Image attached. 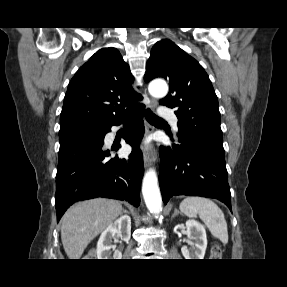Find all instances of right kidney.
I'll return each instance as SVG.
<instances>
[{
	"instance_id": "1",
	"label": "right kidney",
	"mask_w": 287,
	"mask_h": 287,
	"mask_svg": "<svg viewBox=\"0 0 287 287\" xmlns=\"http://www.w3.org/2000/svg\"><path fill=\"white\" fill-rule=\"evenodd\" d=\"M118 235L122 240L128 241L131 236V218L123 215L113 224H110L101 234L97 243L98 259H121L122 254L115 249L112 239ZM113 250V253L112 251Z\"/></svg>"
}]
</instances>
